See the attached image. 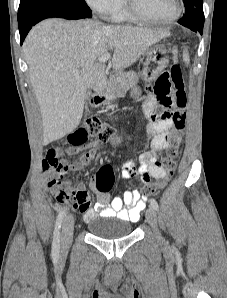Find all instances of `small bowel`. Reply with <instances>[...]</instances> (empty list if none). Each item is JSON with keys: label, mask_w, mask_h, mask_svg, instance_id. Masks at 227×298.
<instances>
[{"label": "small bowel", "mask_w": 227, "mask_h": 298, "mask_svg": "<svg viewBox=\"0 0 227 298\" xmlns=\"http://www.w3.org/2000/svg\"><path fill=\"white\" fill-rule=\"evenodd\" d=\"M171 72L162 69V75L155 78L154 87H147V96L143 105L142 115H157L159 107H155L156 103H173L174 92L171 91V82H169ZM164 109H173V104H164ZM161 115H172V110H161ZM146 133L151 139V149L139 156L138 164L133 161H125L122 169V178L129 180L140 177L142 183H148L152 178L163 179L166 177L167 170L157 157V153L164 149H171L172 138L175 137V147L180 143L181 137L176 133L174 125L169 117H145ZM96 147H101V142L95 143ZM95 146L91 145L88 150H77V146H50V150L46 153L43 160V168L46 171L48 184L53 194L55 188L50 185L56 182L57 187L67 191L80 194L82 199L80 203L71 205L77 211L83 214V219L89 222L98 216L101 217H117L121 220L137 221L146 204V197H141L138 190H127L122 196L111 198L105 193H98L97 202L92 206L90 197L85 185L79 184L76 187H70L62 181L68 171L81 169L89 164L95 154ZM65 154L81 155L77 162L66 163L61 158ZM175 155L171 158L174 163Z\"/></svg>", "instance_id": "c3829d8e"}]
</instances>
